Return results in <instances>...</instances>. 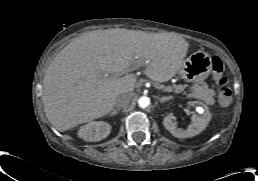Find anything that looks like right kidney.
Returning a JSON list of instances; mask_svg holds the SVG:
<instances>
[{"instance_id":"1","label":"right kidney","mask_w":258,"mask_h":181,"mask_svg":"<svg viewBox=\"0 0 258 181\" xmlns=\"http://www.w3.org/2000/svg\"><path fill=\"white\" fill-rule=\"evenodd\" d=\"M111 132L110 124L104 121H93L80 127L77 135L88 142H98Z\"/></svg>"}]
</instances>
